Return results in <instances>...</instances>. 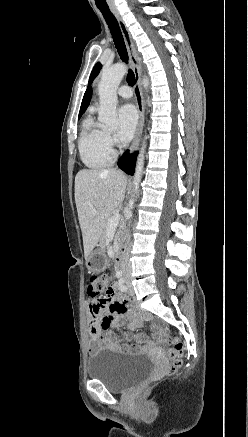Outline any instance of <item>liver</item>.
<instances>
[{
    "instance_id": "obj_1",
    "label": "liver",
    "mask_w": 248,
    "mask_h": 437,
    "mask_svg": "<svg viewBox=\"0 0 248 437\" xmlns=\"http://www.w3.org/2000/svg\"><path fill=\"white\" fill-rule=\"evenodd\" d=\"M127 177L119 170H80L75 177V203L87 259L112 211L122 205Z\"/></svg>"
}]
</instances>
